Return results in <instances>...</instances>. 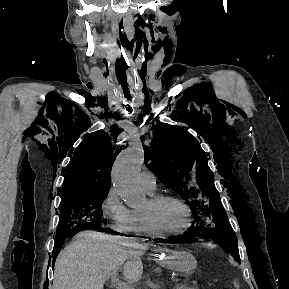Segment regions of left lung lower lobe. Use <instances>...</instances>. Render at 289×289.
Wrapping results in <instances>:
<instances>
[{
	"label": "left lung lower lobe",
	"instance_id": "obj_1",
	"mask_svg": "<svg viewBox=\"0 0 289 289\" xmlns=\"http://www.w3.org/2000/svg\"><path fill=\"white\" fill-rule=\"evenodd\" d=\"M198 237L211 238L214 240L212 233L208 231H187L184 235L168 239V243H191L194 242Z\"/></svg>",
	"mask_w": 289,
	"mask_h": 289
}]
</instances>
